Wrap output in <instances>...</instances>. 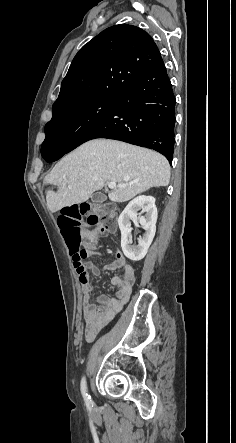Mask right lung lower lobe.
Segmentation results:
<instances>
[{"label": "right lung lower lobe", "mask_w": 236, "mask_h": 443, "mask_svg": "<svg viewBox=\"0 0 236 443\" xmlns=\"http://www.w3.org/2000/svg\"><path fill=\"white\" fill-rule=\"evenodd\" d=\"M175 97L160 57L153 67L118 95L107 110L75 136L66 147L41 149L49 163L95 138L121 140L154 149L172 162Z\"/></svg>", "instance_id": "right-lung-lower-lobe-1"}]
</instances>
